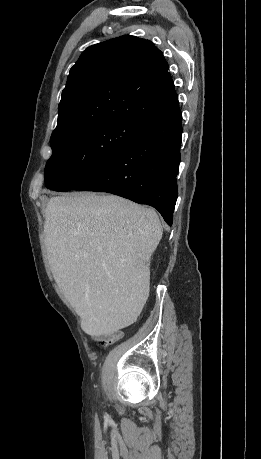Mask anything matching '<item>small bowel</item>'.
Segmentation results:
<instances>
[{
  "label": "small bowel",
  "instance_id": "small-bowel-1",
  "mask_svg": "<svg viewBox=\"0 0 261 459\" xmlns=\"http://www.w3.org/2000/svg\"><path fill=\"white\" fill-rule=\"evenodd\" d=\"M87 333L94 339L103 343L114 342L122 337L121 331H104L102 329L89 327Z\"/></svg>",
  "mask_w": 261,
  "mask_h": 459
}]
</instances>
